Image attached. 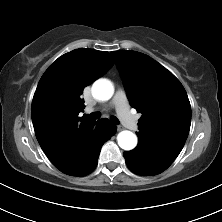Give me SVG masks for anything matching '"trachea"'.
<instances>
[{
	"label": "trachea",
	"instance_id": "1",
	"mask_svg": "<svg viewBox=\"0 0 222 222\" xmlns=\"http://www.w3.org/2000/svg\"><path fill=\"white\" fill-rule=\"evenodd\" d=\"M88 117L91 118V119H99L101 117V114L99 112H93L90 115H88ZM110 120L114 124H119V120L115 116H111Z\"/></svg>",
	"mask_w": 222,
	"mask_h": 222
}]
</instances>
